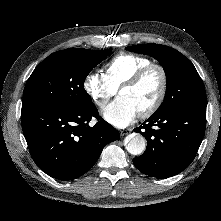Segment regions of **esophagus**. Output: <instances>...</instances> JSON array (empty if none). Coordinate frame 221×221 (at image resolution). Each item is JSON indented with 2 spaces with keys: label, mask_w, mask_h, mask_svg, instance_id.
<instances>
[{
  "label": "esophagus",
  "mask_w": 221,
  "mask_h": 221,
  "mask_svg": "<svg viewBox=\"0 0 221 221\" xmlns=\"http://www.w3.org/2000/svg\"><path fill=\"white\" fill-rule=\"evenodd\" d=\"M131 132H132L131 129H124V130H121V131H120V134H121L122 136H125V135L130 134Z\"/></svg>",
  "instance_id": "34e87169"
}]
</instances>
